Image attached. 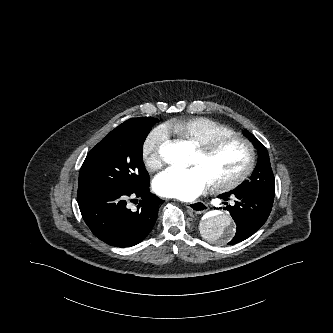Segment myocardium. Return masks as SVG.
Segmentation results:
<instances>
[{"label":"myocardium","mask_w":333,"mask_h":333,"mask_svg":"<svg viewBox=\"0 0 333 333\" xmlns=\"http://www.w3.org/2000/svg\"><path fill=\"white\" fill-rule=\"evenodd\" d=\"M230 142L240 143L246 148L247 162L244 168L236 175L224 180L212 181V186L219 190L232 189L240 185L250 176L256 164V151L254 145L247 138L235 134L221 136L203 144L197 145L198 152H200L203 156H209L215 151H217L219 148H221L223 145Z\"/></svg>","instance_id":"f54148a6"}]
</instances>
